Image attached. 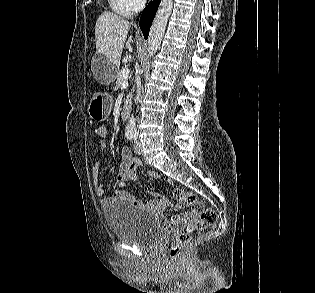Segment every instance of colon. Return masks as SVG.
<instances>
[{"mask_svg":"<svg viewBox=\"0 0 315 293\" xmlns=\"http://www.w3.org/2000/svg\"><path fill=\"white\" fill-rule=\"evenodd\" d=\"M95 132L98 136L103 137L107 134V128L104 125H100L96 128ZM172 194L179 204L183 206L194 205L196 209L201 210L198 217L191 218L183 223L185 225L183 230H175V228H173L169 257L171 260L177 261L183 256L191 240V233L214 224L217 220V213L212 208L202 209L201 205L197 202L196 196L191 192L175 189Z\"/></svg>","mask_w":315,"mask_h":293,"instance_id":"1","label":"colon"}]
</instances>
